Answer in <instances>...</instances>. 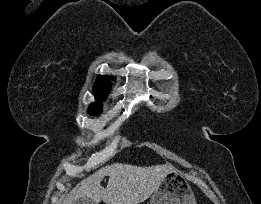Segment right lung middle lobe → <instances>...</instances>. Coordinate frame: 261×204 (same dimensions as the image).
<instances>
[{
    "label": "right lung middle lobe",
    "mask_w": 261,
    "mask_h": 204,
    "mask_svg": "<svg viewBox=\"0 0 261 204\" xmlns=\"http://www.w3.org/2000/svg\"><path fill=\"white\" fill-rule=\"evenodd\" d=\"M101 111H102L101 107H91L89 109V113L94 115L99 114Z\"/></svg>",
    "instance_id": "obj_1"
}]
</instances>
